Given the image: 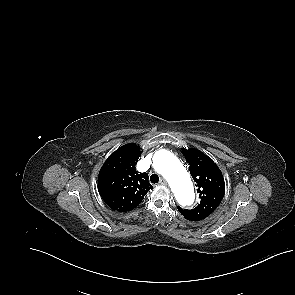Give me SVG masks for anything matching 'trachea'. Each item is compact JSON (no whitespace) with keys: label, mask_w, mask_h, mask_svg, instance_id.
I'll use <instances>...</instances> for the list:
<instances>
[{"label":"trachea","mask_w":295,"mask_h":295,"mask_svg":"<svg viewBox=\"0 0 295 295\" xmlns=\"http://www.w3.org/2000/svg\"><path fill=\"white\" fill-rule=\"evenodd\" d=\"M151 183H158L159 182V176L157 174H152L150 176Z\"/></svg>","instance_id":"obj_1"}]
</instances>
